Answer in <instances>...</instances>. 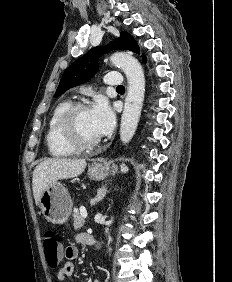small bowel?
<instances>
[{"label": "small bowel", "instance_id": "1", "mask_svg": "<svg viewBox=\"0 0 232 282\" xmlns=\"http://www.w3.org/2000/svg\"><path fill=\"white\" fill-rule=\"evenodd\" d=\"M90 236L86 233H80L76 236L75 240L79 244H87L88 238ZM67 253L65 258L68 260L63 266H61L57 271L58 282H67V278L71 277L74 273V264L71 260L77 257L78 251L75 247L66 248ZM94 282H100L99 279L94 280Z\"/></svg>", "mask_w": 232, "mask_h": 282}]
</instances>
